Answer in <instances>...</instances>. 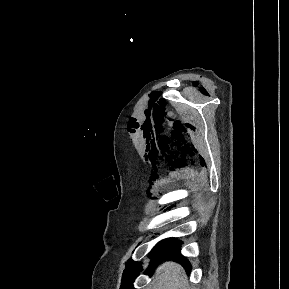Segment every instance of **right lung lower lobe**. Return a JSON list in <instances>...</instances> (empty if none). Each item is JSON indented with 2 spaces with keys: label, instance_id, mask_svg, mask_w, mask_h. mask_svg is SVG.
<instances>
[{
  "label": "right lung lower lobe",
  "instance_id": "obj_1",
  "mask_svg": "<svg viewBox=\"0 0 289 289\" xmlns=\"http://www.w3.org/2000/svg\"><path fill=\"white\" fill-rule=\"evenodd\" d=\"M179 241L167 242L164 241L151 252V257L153 258V262H159L165 257L171 256L173 253L178 251Z\"/></svg>",
  "mask_w": 289,
  "mask_h": 289
}]
</instances>
